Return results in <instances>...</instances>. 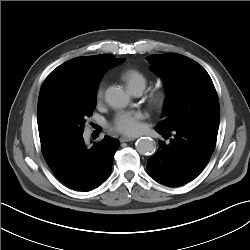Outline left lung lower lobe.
<instances>
[{"instance_id":"obj_1","label":"left lung lower lobe","mask_w":250,"mask_h":250,"mask_svg":"<svg viewBox=\"0 0 250 250\" xmlns=\"http://www.w3.org/2000/svg\"><path fill=\"white\" fill-rule=\"evenodd\" d=\"M219 121L188 125L175 131L169 143L159 142L147 161V173L167 186H180L196 178L208 163L217 139ZM164 138L170 132L156 128Z\"/></svg>"}]
</instances>
